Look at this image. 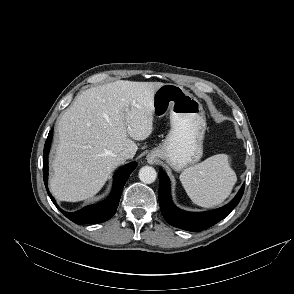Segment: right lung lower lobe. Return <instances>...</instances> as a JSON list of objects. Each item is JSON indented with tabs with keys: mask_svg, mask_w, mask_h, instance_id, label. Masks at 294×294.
Returning a JSON list of instances; mask_svg holds the SVG:
<instances>
[{
	"mask_svg": "<svg viewBox=\"0 0 294 294\" xmlns=\"http://www.w3.org/2000/svg\"><path fill=\"white\" fill-rule=\"evenodd\" d=\"M52 139V131L49 132L45 146H44V155H43V177L44 183L47 187V176H48V152L50 148V142ZM137 163H130L123 168H121L114 177L113 190L111 195L104 201L87 206L80 211L67 213L62 211L56 204L54 198L51 196L50 192L47 190L52 202L55 206L71 221L76 224H92V223H101L110 219L116 212V209L119 204L121 193L123 187L129 178L132 171L136 168Z\"/></svg>",
	"mask_w": 294,
	"mask_h": 294,
	"instance_id": "right-lung-lower-lobe-1",
	"label": "right lung lower lobe"
}]
</instances>
